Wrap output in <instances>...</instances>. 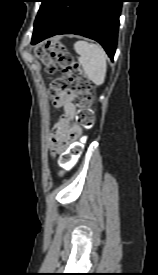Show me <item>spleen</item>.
<instances>
[{
    "mask_svg": "<svg viewBox=\"0 0 158 275\" xmlns=\"http://www.w3.org/2000/svg\"><path fill=\"white\" fill-rule=\"evenodd\" d=\"M74 49L79 55L78 61L87 77L95 84L102 85L107 71V55L104 49L93 43L77 41Z\"/></svg>",
    "mask_w": 158,
    "mask_h": 275,
    "instance_id": "3e777b00",
    "label": "spleen"
}]
</instances>
